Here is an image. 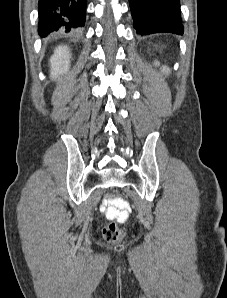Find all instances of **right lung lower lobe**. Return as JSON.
<instances>
[{
  "label": "right lung lower lobe",
  "mask_w": 227,
  "mask_h": 298,
  "mask_svg": "<svg viewBox=\"0 0 227 298\" xmlns=\"http://www.w3.org/2000/svg\"><path fill=\"white\" fill-rule=\"evenodd\" d=\"M38 33L45 37L51 32H70L85 23L86 0H39Z\"/></svg>",
  "instance_id": "right-lung-lower-lobe-1"
}]
</instances>
